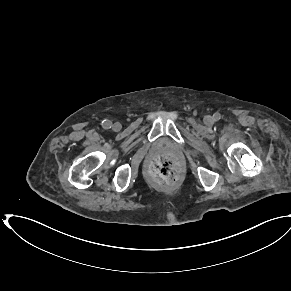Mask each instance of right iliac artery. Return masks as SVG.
<instances>
[{
    "label": "right iliac artery",
    "instance_id": "1",
    "mask_svg": "<svg viewBox=\"0 0 291 291\" xmlns=\"http://www.w3.org/2000/svg\"><path fill=\"white\" fill-rule=\"evenodd\" d=\"M102 127L104 129H110L112 127V122L109 120H103L102 121Z\"/></svg>",
    "mask_w": 291,
    "mask_h": 291
}]
</instances>
